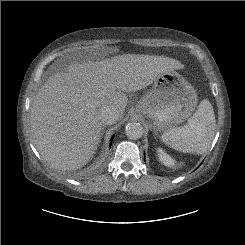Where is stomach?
<instances>
[{
    "mask_svg": "<svg viewBox=\"0 0 245 245\" xmlns=\"http://www.w3.org/2000/svg\"><path fill=\"white\" fill-rule=\"evenodd\" d=\"M197 93L178 72L160 74L136 110L146 115L155 131H166L188 119L197 106Z\"/></svg>",
    "mask_w": 245,
    "mask_h": 245,
    "instance_id": "0dacf381",
    "label": "stomach"
}]
</instances>
